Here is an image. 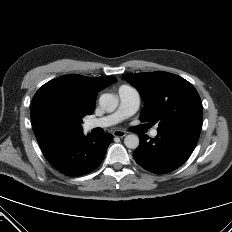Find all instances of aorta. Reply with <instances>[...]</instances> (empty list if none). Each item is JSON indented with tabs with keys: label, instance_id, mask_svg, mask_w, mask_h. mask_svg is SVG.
Masks as SVG:
<instances>
[{
	"label": "aorta",
	"instance_id": "aorta-1",
	"mask_svg": "<svg viewBox=\"0 0 232 232\" xmlns=\"http://www.w3.org/2000/svg\"><path fill=\"white\" fill-rule=\"evenodd\" d=\"M118 103V98L113 94L105 93L99 98L100 107L108 113L115 111ZM139 142V137L134 134H129L124 139L125 146L130 149H136L139 146Z\"/></svg>",
	"mask_w": 232,
	"mask_h": 232
}]
</instances>
